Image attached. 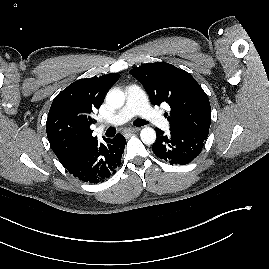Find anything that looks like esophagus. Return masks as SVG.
Masks as SVG:
<instances>
[{
    "mask_svg": "<svg viewBox=\"0 0 269 269\" xmlns=\"http://www.w3.org/2000/svg\"><path fill=\"white\" fill-rule=\"evenodd\" d=\"M139 130H140L139 128H129V129H127L126 132H128V133H136V132H138Z\"/></svg>",
    "mask_w": 269,
    "mask_h": 269,
    "instance_id": "1",
    "label": "esophagus"
}]
</instances>
